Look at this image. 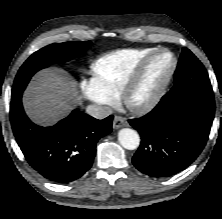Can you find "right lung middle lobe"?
Listing matches in <instances>:
<instances>
[{
	"label": "right lung middle lobe",
	"mask_w": 222,
	"mask_h": 219,
	"mask_svg": "<svg viewBox=\"0 0 222 219\" xmlns=\"http://www.w3.org/2000/svg\"><path fill=\"white\" fill-rule=\"evenodd\" d=\"M90 45V41L55 43L36 51L19 69L14 81L12 96L22 94L30 78L40 69L53 63L75 58L82 51L87 50Z\"/></svg>",
	"instance_id": "right-lung-middle-lobe-1"
}]
</instances>
